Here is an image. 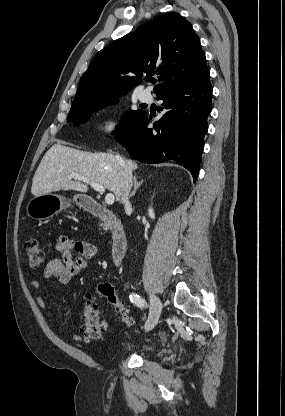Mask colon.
Masks as SVG:
<instances>
[{
    "label": "colon",
    "mask_w": 285,
    "mask_h": 416,
    "mask_svg": "<svg viewBox=\"0 0 285 416\" xmlns=\"http://www.w3.org/2000/svg\"><path fill=\"white\" fill-rule=\"evenodd\" d=\"M25 249L30 266L37 268L45 261L46 252L35 239L28 240L25 244ZM97 293L108 301L115 312L120 315L123 322L128 325L134 324V319L130 316L127 306L118 298L111 284L100 283L97 286ZM83 318L84 322L81 332L84 340H101L106 331L107 323L102 317L100 307L91 297L85 300Z\"/></svg>",
    "instance_id": "1"
}]
</instances>
